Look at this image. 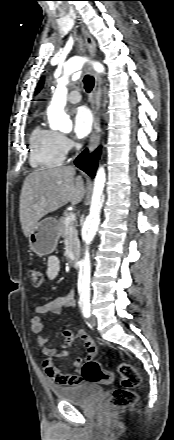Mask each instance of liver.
<instances>
[{
	"mask_svg": "<svg viewBox=\"0 0 174 440\" xmlns=\"http://www.w3.org/2000/svg\"><path fill=\"white\" fill-rule=\"evenodd\" d=\"M82 177L71 166L39 168L25 179L20 195L19 217L25 237L39 220L70 202L76 205L85 196Z\"/></svg>",
	"mask_w": 174,
	"mask_h": 440,
	"instance_id": "obj_1",
	"label": "liver"
}]
</instances>
